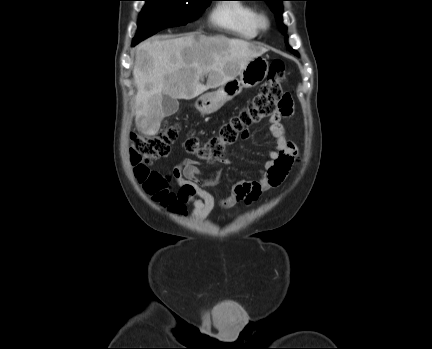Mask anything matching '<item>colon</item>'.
I'll return each instance as SVG.
<instances>
[{"label": "colon", "mask_w": 432, "mask_h": 349, "mask_svg": "<svg viewBox=\"0 0 432 349\" xmlns=\"http://www.w3.org/2000/svg\"><path fill=\"white\" fill-rule=\"evenodd\" d=\"M284 81L285 64L282 60L275 59L270 64L267 80L259 93L225 121L208 141L201 142L190 134L184 144L186 151L207 162L218 161L224 157L229 146L248 135L249 126L277 112H289L292 99L283 90ZM178 135V125H166L152 136L132 134L130 146V158L139 183L156 201L174 210H181L182 205L170 188V177L150 169V166L169 153Z\"/></svg>", "instance_id": "5ec220e1"}]
</instances>
